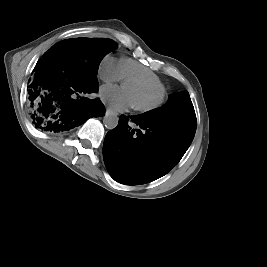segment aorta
I'll list each match as a JSON object with an SVG mask.
<instances>
[{
	"mask_svg": "<svg viewBox=\"0 0 267 267\" xmlns=\"http://www.w3.org/2000/svg\"><path fill=\"white\" fill-rule=\"evenodd\" d=\"M119 122V118L115 113H107L103 118V124L107 129H114Z\"/></svg>",
	"mask_w": 267,
	"mask_h": 267,
	"instance_id": "1",
	"label": "aorta"
}]
</instances>
